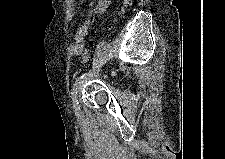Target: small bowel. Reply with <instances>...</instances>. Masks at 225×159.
I'll return each instance as SVG.
<instances>
[{"label": "small bowel", "instance_id": "1", "mask_svg": "<svg viewBox=\"0 0 225 159\" xmlns=\"http://www.w3.org/2000/svg\"><path fill=\"white\" fill-rule=\"evenodd\" d=\"M110 5V0H100L97 6L96 11L98 13H103L106 11L108 6ZM68 7L70 10V15L74 14V4L73 1L68 2ZM89 22L86 21L75 33L73 42L70 46V54L72 56H78L83 52L85 46V37L87 34Z\"/></svg>", "mask_w": 225, "mask_h": 159}]
</instances>
